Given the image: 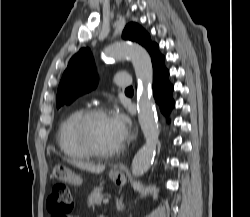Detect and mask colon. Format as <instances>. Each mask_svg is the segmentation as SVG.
I'll return each instance as SVG.
<instances>
[{
	"label": "colon",
	"instance_id": "colon-1",
	"mask_svg": "<svg viewBox=\"0 0 250 217\" xmlns=\"http://www.w3.org/2000/svg\"><path fill=\"white\" fill-rule=\"evenodd\" d=\"M46 208L50 217H69L73 209V197L66 184L58 183L52 187Z\"/></svg>",
	"mask_w": 250,
	"mask_h": 217
}]
</instances>
